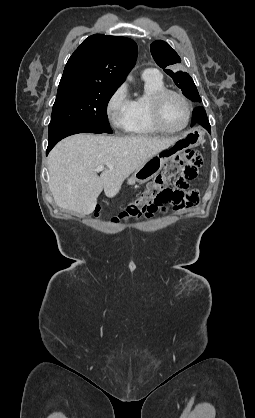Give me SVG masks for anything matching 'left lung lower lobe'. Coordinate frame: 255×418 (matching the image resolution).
Masks as SVG:
<instances>
[{"mask_svg": "<svg viewBox=\"0 0 255 418\" xmlns=\"http://www.w3.org/2000/svg\"><path fill=\"white\" fill-rule=\"evenodd\" d=\"M195 124H200L209 133H211L210 124H209L205 109L203 107H196L193 110L191 126H194Z\"/></svg>", "mask_w": 255, "mask_h": 418, "instance_id": "left-lung-lower-lobe-1", "label": "left lung lower lobe"}]
</instances>
